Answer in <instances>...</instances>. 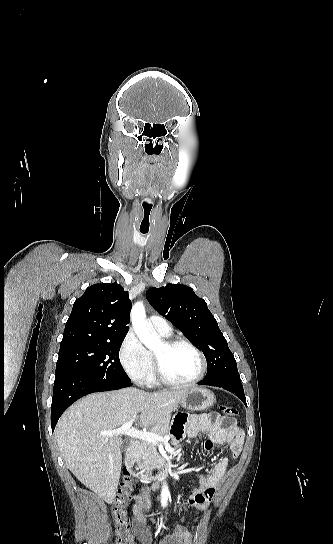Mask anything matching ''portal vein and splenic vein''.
Here are the masks:
<instances>
[{"mask_svg": "<svg viewBox=\"0 0 333 544\" xmlns=\"http://www.w3.org/2000/svg\"><path fill=\"white\" fill-rule=\"evenodd\" d=\"M135 419H131L130 421L124 423L120 428H117L115 430L111 431H103L101 432V435L103 436H119V435H127L129 437H133L136 439H142L145 441H148L150 443L156 444L159 442H167L170 437L169 436H160L156 433L152 432H145L140 431L135 428H131L132 424L134 423Z\"/></svg>", "mask_w": 333, "mask_h": 544, "instance_id": "obj_1", "label": "portal vein and splenic vein"}]
</instances>
